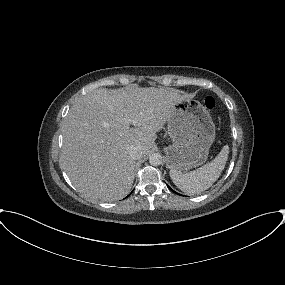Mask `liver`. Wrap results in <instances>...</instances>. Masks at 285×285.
Instances as JSON below:
<instances>
[{"instance_id":"1","label":"liver","mask_w":285,"mask_h":285,"mask_svg":"<svg viewBox=\"0 0 285 285\" xmlns=\"http://www.w3.org/2000/svg\"><path fill=\"white\" fill-rule=\"evenodd\" d=\"M184 99L176 89L134 85L99 88L78 98L62 126V169L87 197L123 198L134 180L129 148L138 146L147 155L174 105Z\"/></svg>"}]
</instances>
